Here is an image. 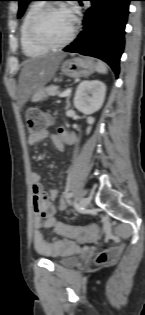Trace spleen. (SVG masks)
<instances>
[{
    "instance_id": "3e777b00",
    "label": "spleen",
    "mask_w": 145,
    "mask_h": 315,
    "mask_svg": "<svg viewBox=\"0 0 145 315\" xmlns=\"http://www.w3.org/2000/svg\"><path fill=\"white\" fill-rule=\"evenodd\" d=\"M96 71L101 74H106L108 72L107 65L103 61H98Z\"/></svg>"
}]
</instances>
